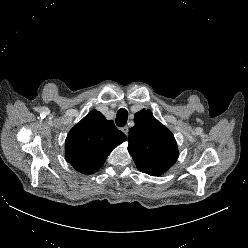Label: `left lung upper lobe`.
Wrapping results in <instances>:
<instances>
[{"instance_id": "left-lung-upper-lobe-1", "label": "left lung upper lobe", "mask_w": 248, "mask_h": 248, "mask_svg": "<svg viewBox=\"0 0 248 248\" xmlns=\"http://www.w3.org/2000/svg\"><path fill=\"white\" fill-rule=\"evenodd\" d=\"M135 125L130 128L128 151L137 168L149 175L166 172L179 156L173 134L161 124L150 110L135 114Z\"/></svg>"}]
</instances>
